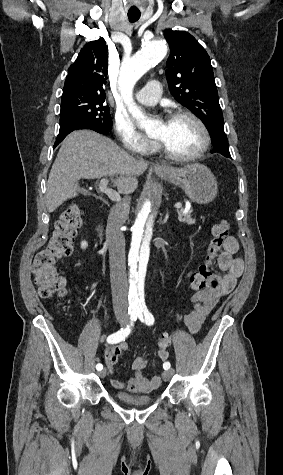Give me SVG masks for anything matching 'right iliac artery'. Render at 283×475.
Returning <instances> with one entry per match:
<instances>
[{
	"instance_id": "obj_1",
	"label": "right iliac artery",
	"mask_w": 283,
	"mask_h": 475,
	"mask_svg": "<svg viewBox=\"0 0 283 475\" xmlns=\"http://www.w3.org/2000/svg\"><path fill=\"white\" fill-rule=\"evenodd\" d=\"M130 319H131L130 325H127L126 328H121L118 332L108 336V338H107L108 343L116 344L120 341L125 340V338L130 334L131 327L133 326L134 321H136V319H137V314L136 313H131L130 314ZM96 369L98 371H101L103 369V365L100 364V363L97 364Z\"/></svg>"
}]
</instances>
